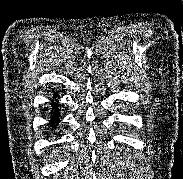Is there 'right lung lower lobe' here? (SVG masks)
Here are the masks:
<instances>
[{
    "label": "right lung lower lobe",
    "mask_w": 183,
    "mask_h": 179,
    "mask_svg": "<svg viewBox=\"0 0 183 179\" xmlns=\"http://www.w3.org/2000/svg\"><path fill=\"white\" fill-rule=\"evenodd\" d=\"M54 93V96L53 98H55V95L57 96V93L56 92H53ZM56 102L52 101L51 103V106H52V110L50 111V114H51V124H52V127L53 128H56L55 127V124H58L59 122V117H60V113H59V109H58V100L55 99Z\"/></svg>",
    "instance_id": "right-lung-lower-lobe-1"
}]
</instances>
